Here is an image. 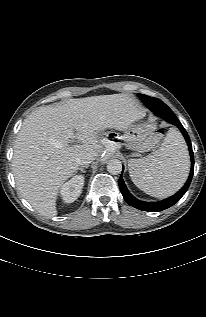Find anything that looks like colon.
<instances>
[{"label":"colon","mask_w":206,"mask_h":317,"mask_svg":"<svg viewBox=\"0 0 206 317\" xmlns=\"http://www.w3.org/2000/svg\"><path fill=\"white\" fill-rule=\"evenodd\" d=\"M162 135H163V130H161V129L156 130V132H155V137H156L157 139L161 138Z\"/></svg>","instance_id":"1"}]
</instances>
